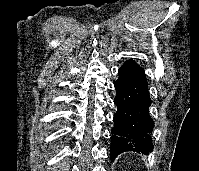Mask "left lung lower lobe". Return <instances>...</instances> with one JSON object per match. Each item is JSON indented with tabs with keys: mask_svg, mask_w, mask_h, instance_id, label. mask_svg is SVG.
I'll return each mask as SVG.
<instances>
[{
	"mask_svg": "<svg viewBox=\"0 0 199 171\" xmlns=\"http://www.w3.org/2000/svg\"><path fill=\"white\" fill-rule=\"evenodd\" d=\"M115 83L114 115L110 157L114 160L125 151L148 154L153 150L150 134L154 121L149 114L151 99L145 72L135 61H126L118 71Z\"/></svg>",
	"mask_w": 199,
	"mask_h": 171,
	"instance_id": "obj_1",
	"label": "left lung lower lobe"
}]
</instances>
